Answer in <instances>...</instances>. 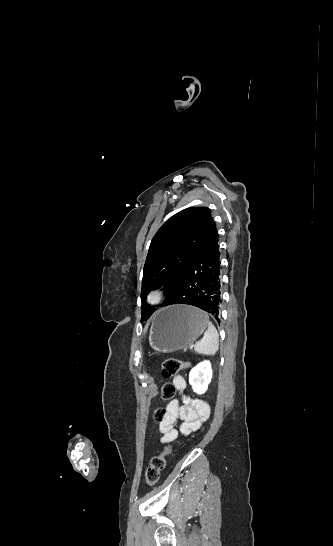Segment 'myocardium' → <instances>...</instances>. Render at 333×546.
I'll return each instance as SVG.
<instances>
[{"label": "myocardium", "mask_w": 333, "mask_h": 546, "mask_svg": "<svg viewBox=\"0 0 333 546\" xmlns=\"http://www.w3.org/2000/svg\"><path fill=\"white\" fill-rule=\"evenodd\" d=\"M164 290L159 287L152 288L147 295V301L151 305H157L164 299Z\"/></svg>", "instance_id": "1"}]
</instances>
